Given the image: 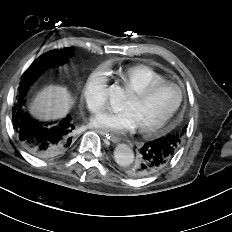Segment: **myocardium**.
<instances>
[{"instance_id":"f54148a6","label":"myocardium","mask_w":232,"mask_h":232,"mask_svg":"<svg viewBox=\"0 0 232 232\" xmlns=\"http://www.w3.org/2000/svg\"><path fill=\"white\" fill-rule=\"evenodd\" d=\"M168 86L175 87L178 90L179 97H178L177 102L170 109V111L158 122L148 125V126L138 127L139 133L145 136H150L160 131L161 129L165 128L170 123V121L173 119V117L178 112V110L180 109L183 103V100H184V90L179 84L175 82L162 81V82L151 83L140 89L131 91L130 94H132L135 98L139 100H143L147 98L150 94L155 92L156 90L163 88V87H168Z\"/></svg>"}]
</instances>
